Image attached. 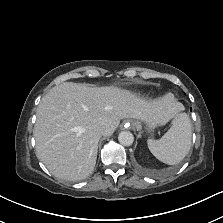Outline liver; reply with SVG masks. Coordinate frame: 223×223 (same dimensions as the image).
I'll return each instance as SVG.
<instances>
[{
    "mask_svg": "<svg viewBox=\"0 0 223 223\" xmlns=\"http://www.w3.org/2000/svg\"><path fill=\"white\" fill-rule=\"evenodd\" d=\"M183 105L169 93L146 100L117 87H89L64 82L53 87L38 105L34 126L36 156L55 176L81 180L90 175L97 159L100 136L96 125H103L110 136L120 120L132 118L165 125Z\"/></svg>",
    "mask_w": 223,
    "mask_h": 223,
    "instance_id": "6515ba94",
    "label": "liver"
}]
</instances>
